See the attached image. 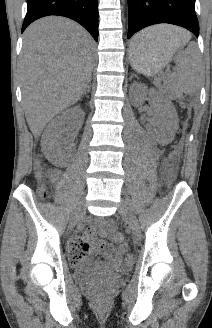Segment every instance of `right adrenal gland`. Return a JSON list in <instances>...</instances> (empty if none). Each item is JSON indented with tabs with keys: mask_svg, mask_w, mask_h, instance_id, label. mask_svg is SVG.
<instances>
[{
	"mask_svg": "<svg viewBox=\"0 0 212 328\" xmlns=\"http://www.w3.org/2000/svg\"><path fill=\"white\" fill-rule=\"evenodd\" d=\"M90 91H91V82L88 83V85H87V87H86V89H85L83 95H86V92L89 93Z\"/></svg>",
	"mask_w": 212,
	"mask_h": 328,
	"instance_id": "obj_1",
	"label": "right adrenal gland"
}]
</instances>
